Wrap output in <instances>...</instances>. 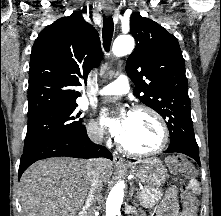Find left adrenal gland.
<instances>
[{
    "instance_id": "1",
    "label": "left adrenal gland",
    "mask_w": 221,
    "mask_h": 216,
    "mask_svg": "<svg viewBox=\"0 0 221 216\" xmlns=\"http://www.w3.org/2000/svg\"><path fill=\"white\" fill-rule=\"evenodd\" d=\"M133 191H134V187H132V190H131V192H130V197H131V199H132V196H133ZM132 201H133V204L136 205L135 200H132Z\"/></svg>"
}]
</instances>
